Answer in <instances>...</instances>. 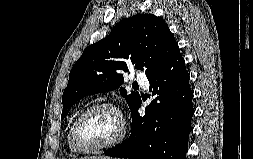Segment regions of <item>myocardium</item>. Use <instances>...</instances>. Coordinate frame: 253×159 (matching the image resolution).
<instances>
[{"instance_id": "1", "label": "myocardium", "mask_w": 253, "mask_h": 159, "mask_svg": "<svg viewBox=\"0 0 253 159\" xmlns=\"http://www.w3.org/2000/svg\"><path fill=\"white\" fill-rule=\"evenodd\" d=\"M99 109H110L114 113H116V115L118 116L119 122H120L119 132L112 140H110L104 144L94 146V147L84 146L80 141L81 125H82L83 121L85 120V118L90 113H92L96 110H99ZM126 133H127V124H126L124 114L120 110V108L111 102H100V103H96V104H93V105L85 108L77 117V119L73 125V128H72V145L79 152L94 153V152H98V151H102V150L111 148V147L119 144L124 139Z\"/></svg>"}]
</instances>
